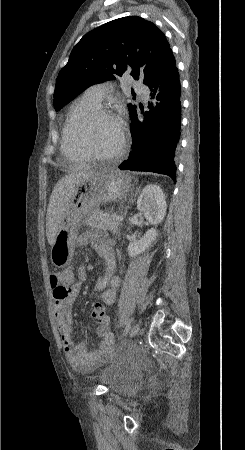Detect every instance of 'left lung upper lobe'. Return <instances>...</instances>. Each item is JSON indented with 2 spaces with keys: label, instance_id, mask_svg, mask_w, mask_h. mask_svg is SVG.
I'll use <instances>...</instances> for the list:
<instances>
[{
  "label": "left lung upper lobe",
  "instance_id": "1",
  "mask_svg": "<svg viewBox=\"0 0 245 450\" xmlns=\"http://www.w3.org/2000/svg\"><path fill=\"white\" fill-rule=\"evenodd\" d=\"M173 56L164 33L138 16L110 21L82 37L56 80L54 108L60 110L91 85L129 73L146 85ZM130 115L136 106L129 104Z\"/></svg>",
  "mask_w": 245,
  "mask_h": 450
}]
</instances>
